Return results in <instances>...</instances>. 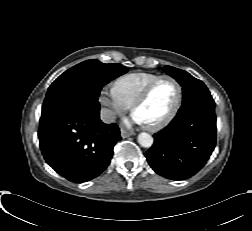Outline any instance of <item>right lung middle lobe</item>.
Wrapping results in <instances>:
<instances>
[{"label":"right lung middle lobe","instance_id":"dd1d6c3e","mask_svg":"<svg viewBox=\"0 0 252 231\" xmlns=\"http://www.w3.org/2000/svg\"><path fill=\"white\" fill-rule=\"evenodd\" d=\"M120 64H104L96 59L84 61L64 72L49 87L42 112L62 104H78L100 109L102 87L126 73Z\"/></svg>","mask_w":252,"mask_h":231}]
</instances>
